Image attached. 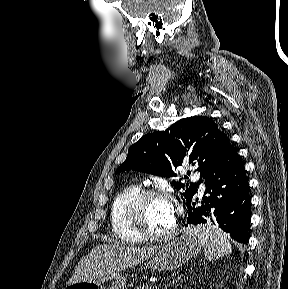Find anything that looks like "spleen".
I'll return each instance as SVG.
<instances>
[{
    "instance_id": "1",
    "label": "spleen",
    "mask_w": 288,
    "mask_h": 289,
    "mask_svg": "<svg viewBox=\"0 0 288 289\" xmlns=\"http://www.w3.org/2000/svg\"><path fill=\"white\" fill-rule=\"evenodd\" d=\"M205 246V256L209 261L231 254L232 246L226 234L212 224H199L188 229Z\"/></svg>"
}]
</instances>
